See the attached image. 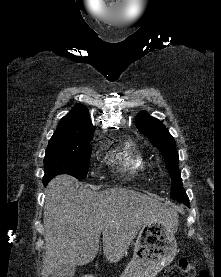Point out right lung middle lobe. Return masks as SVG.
Returning <instances> with one entry per match:
<instances>
[{
  "label": "right lung middle lobe",
  "mask_w": 221,
  "mask_h": 277,
  "mask_svg": "<svg viewBox=\"0 0 221 277\" xmlns=\"http://www.w3.org/2000/svg\"><path fill=\"white\" fill-rule=\"evenodd\" d=\"M92 136H52L44 158L45 186L54 176L63 173L77 179L86 178L92 153Z\"/></svg>",
  "instance_id": "1"
}]
</instances>
